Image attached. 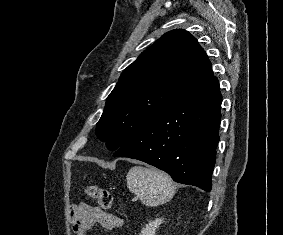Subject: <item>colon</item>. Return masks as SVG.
<instances>
[{
    "label": "colon",
    "instance_id": "5ec220e1",
    "mask_svg": "<svg viewBox=\"0 0 283 235\" xmlns=\"http://www.w3.org/2000/svg\"><path fill=\"white\" fill-rule=\"evenodd\" d=\"M85 193L88 197L97 200L102 208L110 209L112 207L113 196L110 191L94 184H87Z\"/></svg>",
    "mask_w": 283,
    "mask_h": 235
}]
</instances>
